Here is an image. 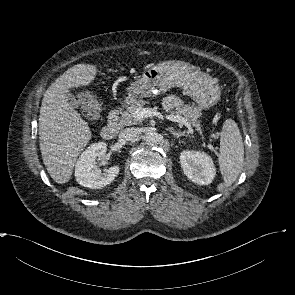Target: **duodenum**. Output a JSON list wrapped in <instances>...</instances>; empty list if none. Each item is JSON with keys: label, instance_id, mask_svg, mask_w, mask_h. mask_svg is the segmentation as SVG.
Listing matches in <instances>:
<instances>
[{"label": "duodenum", "instance_id": "1", "mask_svg": "<svg viewBox=\"0 0 295 295\" xmlns=\"http://www.w3.org/2000/svg\"><path fill=\"white\" fill-rule=\"evenodd\" d=\"M119 116L118 110H113L108 116V123L102 129L101 135L105 140H112L118 133Z\"/></svg>", "mask_w": 295, "mask_h": 295}]
</instances>
